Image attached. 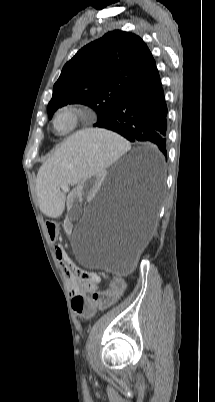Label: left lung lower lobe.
<instances>
[{"label":"left lung lower lobe","instance_id":"1","mask_svg":"<svg viewBox=\"0 0 215 402\" xmlns=\"http://www.w3.org/2000/svg\"><path fill=\"white\" fill-rule=\"evenodd\" d=\"M97 126L131 142L154 144L167 157V105L156 65L118 104L112 115ZM157 192L156 186L145 190L151 209L156 205Z\"/></svg>","mask_w":215,"mask_h":402}]
</instances>
